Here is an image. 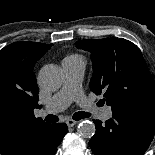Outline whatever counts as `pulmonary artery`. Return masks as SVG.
<instances>
[{
  "label": "pulmonary artery",
  "mask_w": 155,
  "mask_h": 155,
  "mask_svg": "<svg viewBox=\"0 0 155 155\" xmlns=\"http://www.w3.org/2000/svg\"><path fill=\"white\" fill-rule=\"evenodd\" d=\"M62 69L64 80L61 89L56 92L47 102L44 113H57L67 108L74 100L82 101V79L85 71L83 59H63ZM100 118L107 120L112 116L110 107H105L99 114Z\"/></svg>",
  "instance_id": "1"
}]
</instances>
